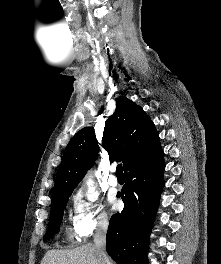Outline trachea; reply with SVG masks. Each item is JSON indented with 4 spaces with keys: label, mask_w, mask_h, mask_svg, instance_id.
Wrapping results in <instances>:
<instances>
[{
    "label": "trachea",
    "mask_w": 221,
    "mask_h": 264,
    "mask_svg": "<svg viewBox=\"0 0 221 264\" xmlns=\"http://www.w3.org/2000/svg\"><path fill=\"white\" fill-rule=\"evenodd\" d=\"M116 174L117 175H123V167H122V164H119L117 166Z\"/></svg>",
    "instance_id": "obj_1"
}]
</instances>
